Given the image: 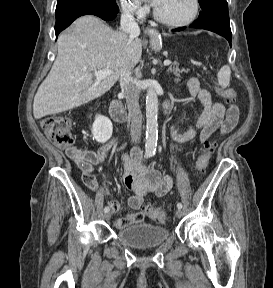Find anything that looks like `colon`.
<instances>
[{"instance_id":"colon-1","label":"colon","mask_w":273,"mask_h":288,"mask_svg":"<svg viewBox=\"0 0 273 288\" xmlns=\"http://www.w3.org/2000/svg\"><path fill=\"white\" fill-rule=\"evenodd\" d=\"M216 90L220 96L228 101H234L236 98V91L233 88H216ZM41 126L48 139L55 146L67 149L73 145L74 135L71 130V120L68 117L61 115L48 116L42 120ZM215 148V142H205L204 151L196 161V169L200 174L205 172ZM143 210L157 223L166 220V213L160 208L146 204L143 206Z\"/></svg>"}]
</instances>
